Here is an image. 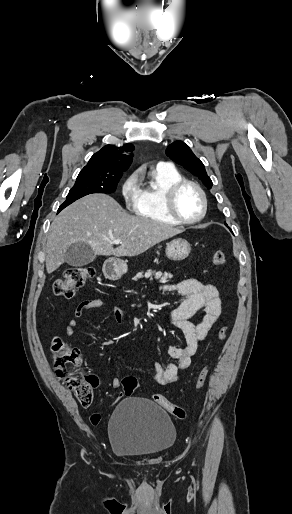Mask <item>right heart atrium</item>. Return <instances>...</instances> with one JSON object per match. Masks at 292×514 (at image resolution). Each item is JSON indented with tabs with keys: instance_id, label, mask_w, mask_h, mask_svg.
<instances>
[{
	"instance_id": "d8ad5b80",
	"label": "right heart atrium",
	"mask_w": 292,
	"mask_h": 514,
	"mask_svg": "<svg viewBox=\"0 0 292 514\" xmlns=\"http://www.w3.org/2000/svg\"><path fill=\"white\" fill-rule=\"evenodd\" d=\"M141 188L138 184V177L132 173L125 177L120 185V195L125 209L132 211L140 198Z\"/></svg>"
}]
</instances>
